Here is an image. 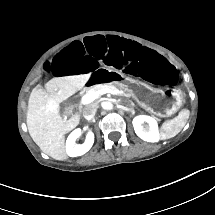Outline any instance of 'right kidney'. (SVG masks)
<instances>
[{"label":"right kidney","mask_w":215,"mask_h":215,"mask_svg":"<svg viewBox=\"0 0 215 215\" xmlns=\"http://www.w3.org/2000/svg\"><path fill=\"white\" fill-rule=\"evenodd\" d=\"M82 134L81 128L73 130L66 140V153L70 157L81 156L85 154L93 145L94 135L89 132L86 135L85 142L83 144H76L75 141Z\"/></svg>","instance_id":"1"}]
</instances>
